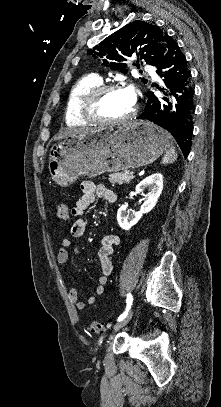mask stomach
Segmentation results:
<instances>
[{
  "label": "stomach",
  "mask_w": 221,
  "mask_h": 407,
  "mask_svg": "<svg viewBox=\"0 0 221 407\" xmlns=\"http://www.w3.org/2000/svg\"><path fill=\"white\" fill-rule=\"evenodd\" d=\"M171 145V136L148 121L75 133L53 145L49 172L56 184L67 187L79 177L151 164Z\"/></svg>",
  "instance_id": "stomach-1"
}]
</instances>
